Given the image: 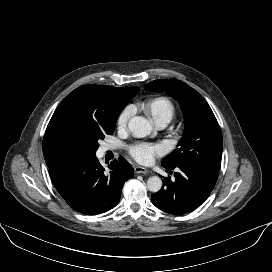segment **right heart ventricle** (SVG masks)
I'll list each match as a JSON object with an SVG mask.
<instances>
[{
  "label": "right heart ventricle",
  "instance_id": "right-heart-ventricle-1",
  "mask_svg": "<svg viewBox=\"0 0 272 272\" xmlns=\"http://www.w3.org/2000/svg\"><path fill=\"white\" fill-rule=\"evenodd\" d=\"M139 107L155 125L161 122L168 124L175 115L173 103L163 96L149 98L140 103Z\"/></svg>",
  "mask_w": 272,
  "mask_h": 272
}]
</instances>
